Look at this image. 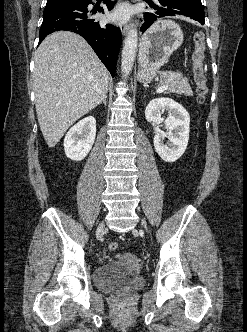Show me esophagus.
<instances>
[{
  "label": "esophagus",
  "instance_id": "34e87169",
  "mask_svg": "<svg viewBox=\"0 0 247 332\" xmlns=\"http://www.w3.org/2000/svg\"><path fill=\"white\" fill-rule=\"evenodd\" d=\"M120 29H121V33H122L123 35H126V34H127V32H128V27H127L126 25L121 26Z\"/></svg>",
  "mask_w": 247,
  "mask_h": 332
}]
</instances>
